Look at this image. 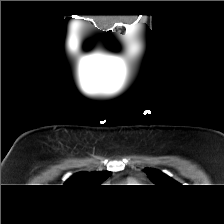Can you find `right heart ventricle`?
Here are the masks:
<instances>
[{
	"label": "right heart ventricle",
	"mask_w": 224,
	"mask_h": 224,
	"mask_svg": "<svg viewBox=\"0 0 224 224\" xmlns=\"http://www.w3.org/2000/svg\"><path fill=\"white\" fill-rule=\"evenodd\" d=\"M134 182H135L134 180H128V184H132L133 185V184H135Z\"/></svg>",
	"instance_id": "right-heart-ventricle-1"
}]
</instances>
